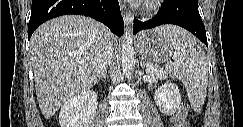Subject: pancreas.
<instances>
[{
    "label": "pancreas",
    "instance_id": "pancreas-1",
    "mask_svg": "<svg viewBox=\"0 0 243 127\" xmlns=\"http://www.w3.org/2000/svg\"><path fill=\"white\" fill-rule=\"evenodd\" d=\"M151 75H153V76H155L156 78H159V79L164 78L163 74H160V73H155V74H151Z\"/></svg>",
    "mask_w": 243,
    "mask_h": 127
}]
</instances>
